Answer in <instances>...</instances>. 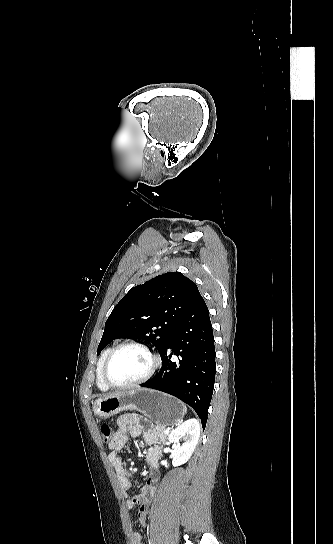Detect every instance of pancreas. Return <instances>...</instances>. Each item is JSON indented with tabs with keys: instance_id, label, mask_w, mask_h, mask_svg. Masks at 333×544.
I'll list each match as a JSON object with an SVG mask.
<instances>
[{
	"instance_id": "obj_1",
	"label": "pancreas",
	"mask_w": 333,
	"mask_h": 544,
	"mask_svg": "<svg viewBox=\"0 0 333 544\" xmlns=\"http://www.w3.org/2000/svg\"><path fill=\"white\" fill-rule=\"evenodd\" d=\"M165 427L163 426H155L153 429H152V432L155 433L156 435H158L162 441H166L167 439V434H165Z\"/></svg>"
}]
</instances>
